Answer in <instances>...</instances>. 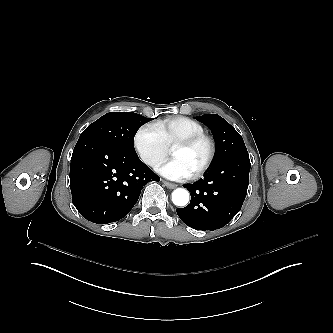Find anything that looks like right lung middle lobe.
<instances>
[{
  "instance_id": "dd1d6c3e",
  "label": "right lung middle lobe",
  "mask_w": 333,
  "mask_h": 333,
  "mask_svg": "<svg viewBox=\"0 0 333 333\" xmlns=\"http://www.w3.org/2000/svg\"><path fill=\"white\" fill-rule=\"evenodd\" d=\"M151 120L137 113L110 112L90 124L81 133L79 140L98 139L121 153L137 155L133 145L134 136L140 126Z\"/></svg>"
}]
</instances>
